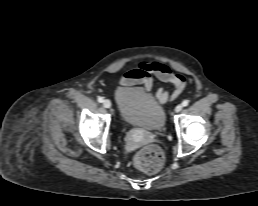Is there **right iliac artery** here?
I'll return each mask as SVG.
<instances>
[{"mask_svg": "<svg viewBox=\"0 0 258 206\" xmlns=\"http://www.w3.org/2000/svg\"><path fill=\"white\" fill-rule=\"evenodd\" d=\"M104 101L103 97H98V102L102 103Z\"/></svg>", "mask_w": 258, "mask_h": 206, "instance_id": "1", "label": "right iliac artery"}]
</instances>
